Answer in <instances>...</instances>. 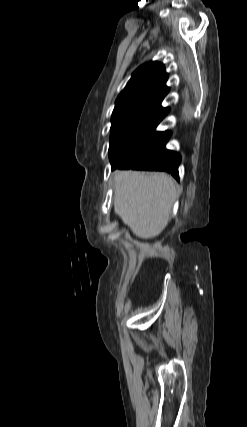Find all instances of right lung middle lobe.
I'll return each mask as SVG.
<instances>
[{"label": "right lung middle lobe", "instance_id": "obj_1", "mask_svg": "<svg viewBox=\"0 0 247 427\" xmlns=\"http://www.w3.org/2000/svg\"><path fill=\"white\" fill-rule=\"evenodd\" d=\"M148 116L149 114L143 112H123L112 114L109 145L110 160L114 157L128 135Z\"/></svg>", "mask_w": 247, "mask_h": 427}]
</instances>
